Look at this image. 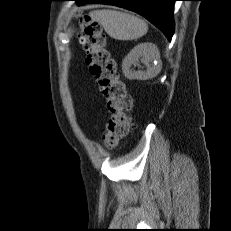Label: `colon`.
<instances>
[{"instance_id": "1", "label": "colon", "mask_w": 231, "mask_h": 231, "mask_svg": "<svg viewBox=\"0 0 231 231\" xmlns=\"http://www.w3.org/2000/svg\"><path fill=\"white\" fill-rule=\"evenodd\" d=\"M80 42L87 52L89 71L107 100L110 112L103 143L108 148H114L130 130L133 99L117 71L106 34L97 21L88 19L81 23Z\"/></svg>"}]
</instances>
